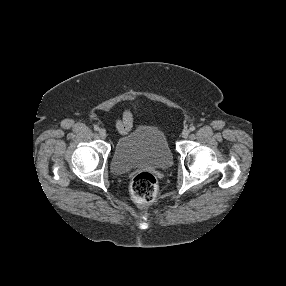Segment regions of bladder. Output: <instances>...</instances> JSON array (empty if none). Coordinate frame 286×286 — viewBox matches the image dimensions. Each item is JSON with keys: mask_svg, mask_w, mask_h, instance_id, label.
Returning <instances> with one entry per match:
<instances>
[{"mask_svg": "<svg viewBox=\"0 0 286 286\" xmlns=\"http://www.w3.org/2000/svg\"><path fill=\"white\" fill-rule=\"evenodd\" d=\"M173 154L164 133L157 127L139 124L116 142L111 168L117 175L137 167L164 170L171 167Z\"/></svg>", "mask_w": 286, "mask_h": 286, "instance_id": "bladder-1", "label": "bladder"}]
</instances>
